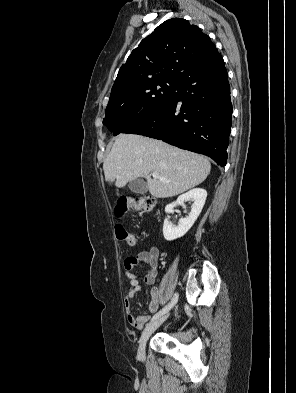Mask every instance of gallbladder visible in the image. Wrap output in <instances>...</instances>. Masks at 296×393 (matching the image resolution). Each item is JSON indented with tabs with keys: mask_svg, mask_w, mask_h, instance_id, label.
Listing matches in <instances>:
<instances>
[{
	"mask_svg": "<svg viewBox=\"0 0 296 393\" xmlns=\"http://www.w3.org/2000/svg\"><path fill=\"white\" fill-rule=\"evenodd\" d=\"M128 187L132 192L137 194H145L148 191L146 183L139 178L130 181Z\"/></svg>",
	"mask_w": 296,
	"mask_h": 393,
	"instance_id": "gallbladder-1",
	"label": "gallbladder"
}]
</instances>
